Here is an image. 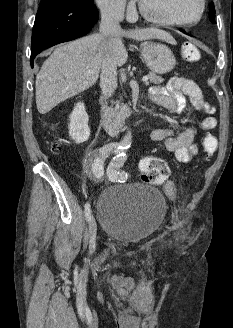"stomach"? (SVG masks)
Wrapping results in <instances>:
<instances>
[{
	"mask_svg": "<svg viewBox=\"0 0 233 328\" xmlns=\"http://www.w3.org/2000/svg\"><path fill=\"white\" fill-rule=\"evenodd\" d=\"M140 48L143 59L153 72L164 74L175 67V56L165 44L145 41L141 43Z\"/></svg>",
	"mask_w": 233,
	"mask_h": 328,
	"instance_id": "obj_1",
	"label": "stomach"
}]
</instances>
